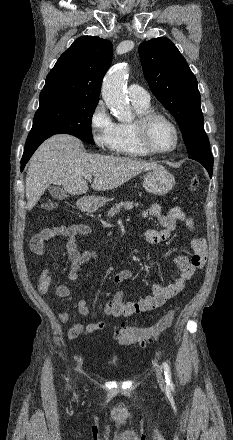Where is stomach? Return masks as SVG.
<instances>
[{
  "label": "stomach",
  "mask_w": 233,
  "mask_h": 440,
  "mask_svg": "<svg viewBox=\"0 0 233 440\" xmlns=\"http://www.w3.org/2000/svg\"><path fill=\"white\" fill-rule=\"evenodd\" d=\"M174 185V176L162 166L148 171L144 176L143 187L148 193L162 196L167 194ZM106 202V198L93 196L84 197L81 200L83 208L88 211L96 210Z\"/></svg>",
  "instance_id": "0dacf381"
}]
</instances>
